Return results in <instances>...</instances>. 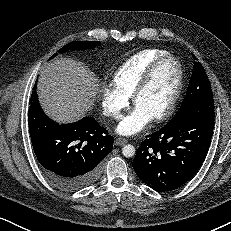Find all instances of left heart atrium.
I'll return each instance as SVG.
<instances>
[{"label":"left heart atrium","instance_id":"1","mask_svg":"<svg viewBox=\"0 0 231 231\" xmlns=\"http://www.w3.org/2000/svg\"><path fill=\"white\" fill-rule=\"evenodd\" d=\"M152 117L139 107H135L134 110L125 116L117 126V132L132 136L147 127L151 122Z\"/></svg>","mask_w":231,"mask_h":231}]
</instances>
